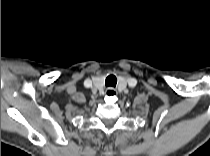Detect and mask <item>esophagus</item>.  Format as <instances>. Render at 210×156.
Returning a JSON list of instances; mask_svg holds the SVG:
<instances>
[{
    "label": "esophagus",
    "instance_id": "esophagus-1",
    "mask_svg": "<svg viewBox=\"0 0 210 156\" xmlns=\"http://www.w3.org/2000/svg\"><path fill=\"white\" fill-rule=\"evenodd\" d=\"M116 95H117V90L114 88L109 87L105 90V96L107 97H113Z\"/></svg>",
    "mask_w": 210,
    "mask_h": 156
}]
</instances>
